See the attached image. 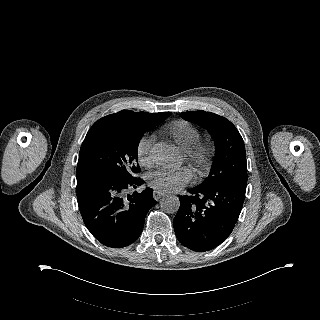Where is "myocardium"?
Segmentation results:
<instances>
[{
    "label": "myocardium",
    "instance_id": "obj_1",
    "mask_svg": "<svg viewBox=\"0 0 320 320\" xmlns=\"http://www.w3.org/2000/svg\"><path fill=\"white\" fill-rule=\"evenodd\" d=\"M185 158L198 169H203L207 160V148L200 143H194L184 150Z\"/></svg>",
    "mask_w": 320,
    "mask_h": 320
}]
</instances>
